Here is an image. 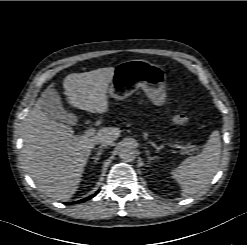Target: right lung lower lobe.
Wrapping results in <instances>:
<instances>
[{"mask_svg":"<svg viewBox=\"0 0 247 245\" xmlns=\"http://www.w3.org/2000/svg\"><path fill=\"white\" fill-rule=\"evenodd\" d=\"M97 193H98V191H97L95 194H93L92 196H89V197H87V198H85V199H82V200H79V201H75V202H72V203H69V204H75V203H80V202L89 200V199H91L92 197H94Z\"/></svg>","mask_w":247,"mask_h":245,"instance_id":"right-lung-lower-lobe-1","label":"right lung lower lobe"}]
</instances>
